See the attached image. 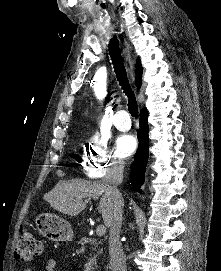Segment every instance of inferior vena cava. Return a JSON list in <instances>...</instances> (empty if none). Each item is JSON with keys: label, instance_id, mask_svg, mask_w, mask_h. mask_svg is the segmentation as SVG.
Returning a JSON list of instances; mask_svg holds the SVG:
<instances>
[{"label": "inferior vena cava", "instance_id": "1", "mask_svg": "<svg viewBox=\"0 0 221 271\" xmlns=\"http://www.w3.org/2000/svg\"><path fill=\"white\" fill-rule=\"evenodd\" d=\"M111 169H114L117 175L118 173H123L124 163L117 161V163L112 165ZM103 183H105L107 193H109L115 201L112 217L108 225L110 267L112 271H127L126 255L122 249V243L120 241V231L123 221V205L121 203V199H123V197L122 193L117 189V185L122 183V179H120V177H110V179H103Z\"/></svg>", "mask_w": 221, "mask_h": 271}]
</instances>
